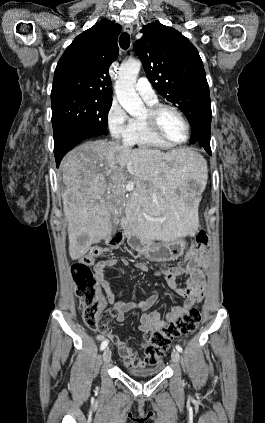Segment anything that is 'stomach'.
Wrapping results in <instances>:
<instances>
[{
	"instance_id": "obj_1",
	"label": "stomach",
	"mask_w": 265,
	"mask_h": 423,
	"mask_svg": "<svg viewBox=\"0 0 265 423\" xmlns=\"http://www.w3.org/2000/svg\"><path fill=\"white\" fill-rule=\"evenodd\" d=\"M142 252L144 256L157 262H165L181 256L186 247V242L182 238L159 243L153 240H141Z\"/></svg>"
}]
</instances>
